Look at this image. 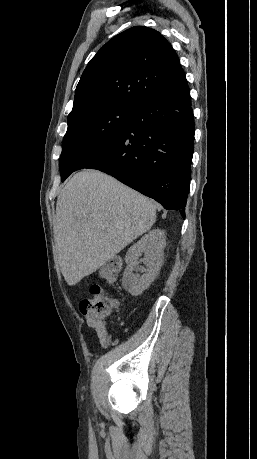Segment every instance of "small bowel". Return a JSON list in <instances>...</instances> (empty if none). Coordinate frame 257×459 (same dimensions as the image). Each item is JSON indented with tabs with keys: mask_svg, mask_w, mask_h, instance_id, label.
Masks as SVG:
<instances>
[{
	"mask_svg": "<svg viewBox=\"0 0 257 459\" xmlns=\"http://www.w3.org/2000/svg\"><path fill=\"white\" fill-rule=\"evenodd\" d=\"M117 305H118L117 301H114L113 308H116ZM85 323L87 324V326L95 329V331L97 332L101 347L106 348L109 344V336H108L107 328H106L104 321L97 320L93 316L87 315L85 316Z\"/></svg>",
	"mask_w": 257,
	"mask_h": 459,
	"instance_id": "c3829d8e",
	"label": "small bowel"
}]
</instances>
